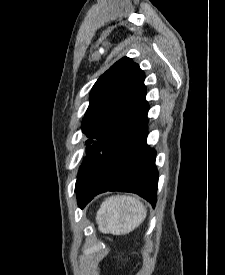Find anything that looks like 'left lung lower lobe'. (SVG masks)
I'll use <instances>...</instances> for the list:
<instances>
[{"label":"left lung lower lobe","mask_w":225,"mask_h":275,"mask_svg":"<svg viewBox=\"0 0 225 275\" xmlns=\"http://www.w3.org/2000/svg\"><path fill=\"white\" fill-rule=\"evenodd\" d=\"M147 113L101 157L86 180L75 188L81 208L106 191L132 192L155 206L158 172L156 152L146 143Z\"/></svg>","instance_id":"obj_1"}]
</instances>
